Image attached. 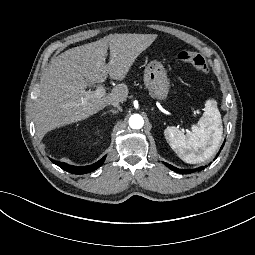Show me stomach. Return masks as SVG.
<instances>
[{"label":"stomach","instance_id":"0dacf381","mask_svg":"<svg viewBox=\"0 0 255 255\" xmlns=\"http://www.w3.org/2000/svg\"><path fill=\"white\" fill-rule=\"evenodd\" d=\"M144 85L153 99L163 103L167 101L170 85L162 66H155L145 70Z\"/></svg>","mask_w":255,"mask_h":255}]
</instances>
